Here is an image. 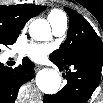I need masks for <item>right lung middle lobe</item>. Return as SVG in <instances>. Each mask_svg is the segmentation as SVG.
<instances>
[{"instance_id":"dd1d6c3e","label":"right lung middle lobe","mask_w":103,"mask_h":103,"mask_svg":"<svg viewBox=\"0 0 103 103\" xmlns=\"http://www.w3.org/2000/svg\"><path fill=\"white\" fill-rule=\"evenodd\" d=\"M19 33L11 32L0 26V46L13 44L18 37Z\"/></svg>"}]
</instances>
